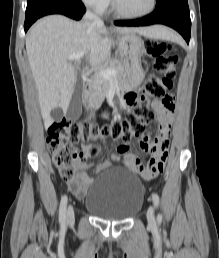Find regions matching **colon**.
I'll return each mask as SVG.
<instances>
[{
	"label": "colon",
	"mask_w": 219,
	"mask_h": 258,
	"mask_svg": "<svg viewBox=\"0 0 219 258\" xmlns=\"http://www.w3.org/2000/svg\"><path fill=\"white\" fill-rule=\"evenodd\" d=\"M145 50L159 76L145 82L139 101L124 120L99 125L92 121L62 119L49 127L47 145L63 178L68 180L74 177L77 160L86 154L78 150L77 145L108 138L127 143L134 136H145L146 125L155 119L151 101L166 96V91L173 85L179 64L178 56L172 53L171 45L166 42L148 39L145 41Z\"/></svg>",
	"instance_id": "colon-1"
}]
</instances>
